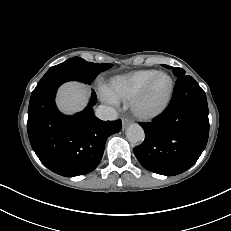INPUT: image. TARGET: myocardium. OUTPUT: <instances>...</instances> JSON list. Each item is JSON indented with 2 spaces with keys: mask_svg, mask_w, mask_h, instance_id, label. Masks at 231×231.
Wrapping results in <instances>:
<instances>
[{
  "mask_svg": "<svg viewBox=\"0 0 231 231\" xmlns=\"http://www.w3.org/2000/svg\"><path fill=\"white\" fill-rule=\"evenodd\" d=\"M159 76H165L168 79L169 85L167 92L159 103L152 107H147L145 102L150 95L156 79ZM174 89V80L168 73L163 71L156 72V74L148 81V83L131 98L130 108L132 113L137 118L142 120H151L160 116L169 107L174 95Z\"/></svg>",
  "mask_w": 231,
  "mask_h": 231,
  "instance_id": "1",
  "label": "myocardium"
}]
</instances>
